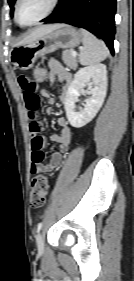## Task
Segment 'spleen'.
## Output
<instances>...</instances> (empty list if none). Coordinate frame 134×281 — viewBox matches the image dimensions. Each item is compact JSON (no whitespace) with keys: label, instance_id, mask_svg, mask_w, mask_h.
Segmentation results:
<instances>
[{"label":"spleen","instance_id":"3e777b00","mask_svg":"<svg viewBox=\"0 0 134 281\" xmlns=\"http://www.w3.org/2000/svg\"><path fill=\"white\" fill-rule=\"evenodd\" d=\"M80 32L83 37V48L79 54L80 64L94 65L105 60L109 55L105 43L85 29H81Z\"/></svg>","mask_w":134,"mask_h":281}]
</instances>
